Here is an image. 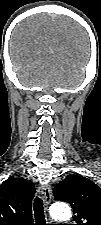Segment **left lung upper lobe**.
Listing matches in <instances>:
<instances>
[{"label": "left lung upper lobe", "mask_w": 101, "mask_h": 225, "mask_svg": "<svg viewBox=\"0 0 101 225\" xmlns=\"http://www.w3.org/2000/svg\"><path fill=\"white\" fill-rule=\"evenodd\" d=\"M54 197L68 202L76 225H101V188L83 176H70L56 185Z\"/></svg>", "instance_id": "obj_1"}]
</instances>
